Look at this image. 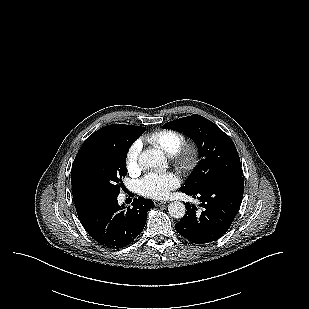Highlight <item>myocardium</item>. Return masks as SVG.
Listing matches in <instances>:
<instances>
[{
  "label": "myocardium",
  "instance_id": "myocardium-1",
  "mask_svg": "<svg viewBox=\"0 0 309 309\" xmlns=\"http://www.w3.org/2000/svg\"><path fill=\"white\" fill-rule=\"evenodd\" d=\"M199 157V148L192 142H184L172 155L175 166L184 173H190L197 167Z\"/></svg>",
  "mask_w": 309,
  "mask_h": 309
}]
</instances>
